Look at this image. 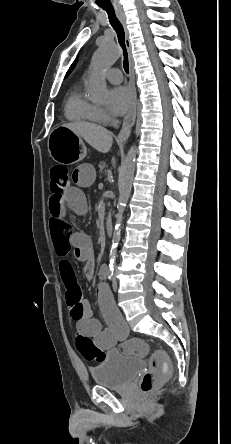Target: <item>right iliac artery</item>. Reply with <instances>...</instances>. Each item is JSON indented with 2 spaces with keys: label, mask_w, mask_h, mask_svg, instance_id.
Wrapping results in <instances>:
<instances>
[{
  "label": "right iliac artery",
  "mask_w": 231,
  "mask_h": 444,
  "mask_svg": "<svg viewBox=\"0 0 231 444\" xmlns=\"http://www.w3.org/2000/svg\"><path fill=\"white\" fill-rule=\"evenodd\" d=\"M113 268L112 267H110L109 269H108V271H107V278L109 279V280H112V278H113Z\"/></svg>",
  "instance_id": "1"
}]
</instances>
